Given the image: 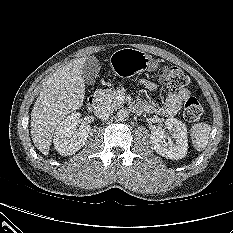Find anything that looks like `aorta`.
I'll list each match as a JSON object with an SVG mask.
<instances>
[{"instance_id":"aorta-1","label":"aorta","mask_w":233,"mask_h":233,"mask_svg":"<svg viewBox=\"0 0 233 233\" xmlns=\"http://www.w3.org/2000/svg\"><path fill=\"white\" fill-rule=\"evenodd\" d=\"M116 117L119 121H126L129 118V113L127 110L125 109H120L117 114Z\"/></svg>"}]
</instances>
